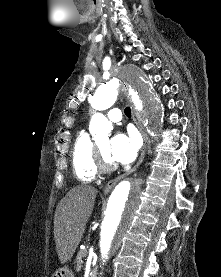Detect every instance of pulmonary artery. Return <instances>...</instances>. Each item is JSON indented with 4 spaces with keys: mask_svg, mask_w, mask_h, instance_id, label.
Listing matches in <instances>:
<instances>
[{
    "mask_svg": "<svg viewBox=\"0 0 221 277\" xmlns=\"http://www.w3.org/2000/svg\"><path fill=\"white\" fill-rule=\"evenodd\" d=\"M107 117L112 122H119L122 120V113L119 109L114 108L108 111Z\"/></svg>",
    "mask_w": 221,
    "mask_h": 277,
    "instance_id": "pulmonary-artery-1",
    "label": "pulmonary artery"
}]
</instances>
